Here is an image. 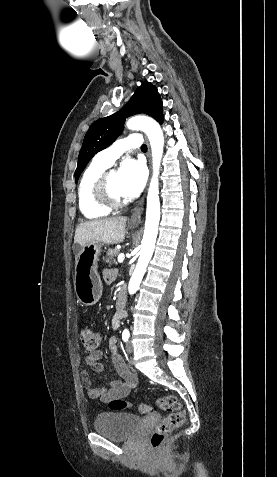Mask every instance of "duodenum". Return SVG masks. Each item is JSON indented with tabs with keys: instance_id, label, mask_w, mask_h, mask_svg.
I'll use <instances>...</instances> for the list:
<instances>
[{
	"instance_id": "410a0bca",
	"label": "duodenum",
	"mask_w": 277,
	"mask_h": 477,
	"mask_svg": "<svg viewBox=\"0 0 277 477\" xmlns=\"http://www.w3.org/2000/svg\"><path fill=\"white\" fill-rule=\"evenodd\" d=\"M125 305H126L125 295H124V293L120 292L117 299H116V309L118 311H123Z\"/></svg>"
}]
</instances>
